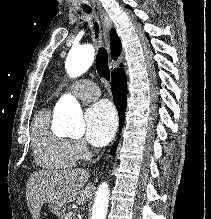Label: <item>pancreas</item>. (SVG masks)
<instances>
[{
  "label": "pancreas",
  "mask_w": 211,
  "mask_h": 219,
  "mask_svg": "<svg viewBox=\"0 0 211 219\" xmlns=\"http://www.w3.org/2000/svg\"><path fill=\"white\" fill-rule=\"evenodd\" d=\"M61 219H76L74 214L67 213L61 216Z\"/></svg>",
  "instance_id": "1"
}]
</instances>
